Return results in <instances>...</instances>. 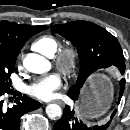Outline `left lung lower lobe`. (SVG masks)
Wrapping results in <instances>:
<instances>
[{
  "label": "left lung lower lobe",
  "instance_id": "1",
  "mask_svg": "<svg viewBox=\"0 0 130 130\" xmlns=\"http://www.w3.org/2000/svg\"><path fill=\"white\" fill-rule=\"evenodd\" d=\"M121 74H124L125 69L122 67H118ZM120 83L125 85V79L123 78ZM71 99L76 101L78 99L77 96L68 95ZM120 100H118L119 104ZM116 110L111 114V120L114 117ZM108 121L105 125L102 126H87L83 124L81 120L75 117V112L70 108V106H66L63 110L62 117L55 123L53 130H106L110 124Z\"/></svg>",
  "mask_w": 130,
  "mask_h": 130
}]
</instances>
